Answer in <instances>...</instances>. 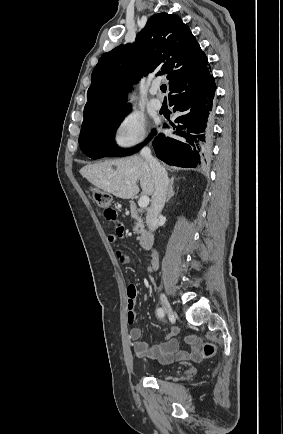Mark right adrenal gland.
Returning a JSON list of instances; mask_svg holds the SVG:
<instances>
[{
    "mask_svg": "<svg viewBox=\"0 0 283 434\" xmlns=\"http://www.w3.org/2000/svg\"><path fill=\"white\" fill-rule=\"evenodd\" d=\"M174 179L175 177H171L170 179V186H169V190H168V195L166 198V203L169 202V200L174 196L175 192L173 190V183H174Z\"/></svg>",
    "mask_w": 283,
    "mask_h": 434,
    "instance_id": "right-adrenal-gland-1",
    "label": "right adrenal gland"
}]
</instances>
